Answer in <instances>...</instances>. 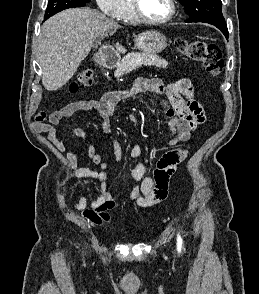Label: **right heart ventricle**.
<instances>
[{"label": "right heart ventricle", "mask_w": 259, "mask_h": 294, "mask_svg": "<svg viewBox=\"0 0 259 294\" xmlns=\"http://www.w3.org/2000/svg\"><path fill=\"white\" fill-rule=\"evenodd\" d=\"M119 19L121 21L128 22V23H133L137 21L133 13L130 0H124V8Z\"/></svg>", "instance_id": "1"}]
</instances>
